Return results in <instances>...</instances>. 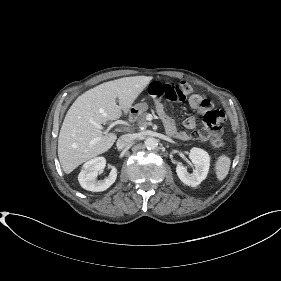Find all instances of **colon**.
Instances as JSON below:
<instances>
[{"label": "colon", "mask_w": 281, "mask_h": 281, "mask_svg": "<svg viewBox=\"0 0 281 281\" xmlns=\"http://www.w3.org/2000/svg\"><path fill=\"white\" fill-rule=\"evenodd\" d=\"M149 94L153 98H165L169 101H182L191 93L192 87L187 82L177 84L153 82L149 86ZM224 120L221 111L211 110L204 115L205 127L197 131L195 139H208L210 144L216 148L224 146V141L219 136L220 126Z\"/></svg>", "instance_id": "5ec220e1"}]
</instances>
